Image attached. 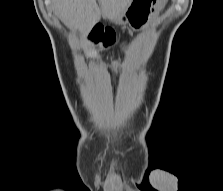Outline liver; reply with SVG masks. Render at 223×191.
<instances>
[{
  "label": "liver",
  "instance_id": "liver-1",
  "mask_svg": "<svg viewBox=\"0 0 223 191\" xmlns=\"http://www.w3.org/2000/svg\"><path fill=\"white\" fill-rule=\"evenodd\" d=\"M56 15L68 26L87 33L101 19V15L115 21L132 0H52Z\"/></svg>",
  "mask_w": 223,
  "mask_h": 191
}]
</instances>
